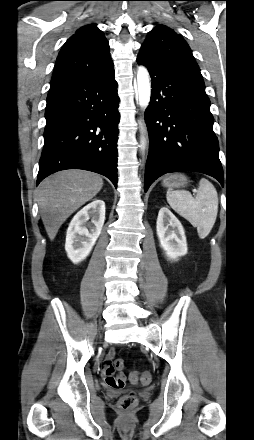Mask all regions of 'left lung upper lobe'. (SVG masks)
Here are the masks:
<instances>
[{
    "label": "left lung upper lobe",
    "mask_w": 254,
    "mask_h": 440,
    "mask_svg": "<svg viewBox=\"0 0 254 440\" xmlns=\"http://www.w3.org/2000/svg\"><path fill=\"white\" fill-rule=\"evenodd\" d=\"M138 57L152 58L172 68L183 70L204 85L188 44L174 30L164 25H157L149 32Z\"/></svg>",
    "instance_id": "1"
}]
</instances>
